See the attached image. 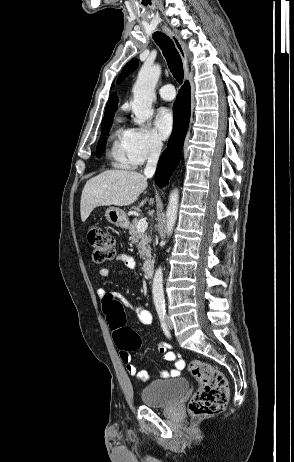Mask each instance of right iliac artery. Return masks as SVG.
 <instances>
[{
	"label": "right iliac artery",
	"mask_w": 294,
	"mask_h": 462,
	"mask_svg": "<svg viewBox=\"0 0 294 462\" xmlns=\"http://www.w3.org/2000/svg\"><path fill=\"white\" fill-rule=\"evenodd\" d=\"M157 313H158V316H159V319H160V322H161V327H162V329H163L165 335H166L167 337H170V332H169V330H168V328H167V325H166V323H165V315H166V310H165V308H159V309H157Z\"/></svg>",
	"instance_id": "right-iliac-artery-1"
}]
</instances>
